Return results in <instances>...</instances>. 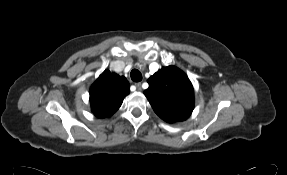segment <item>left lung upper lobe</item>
Wrapping results in <instances>:
<instances>
[{
  "mask_svg": "<svg viewBox=\"0 0 287 175\" xmlns=\"http://www.w3.org/2000/svg\"><path fill=\"white\" fill-rule=\"evenodd\" d=\"M144 91L153 110L169 123L186 120L194 107V91L187 75L175 66L163 67Z\"/></svg>",
  "mask_w": 287,
  "mask_h": 175,
  "instance_id": "left-lung-upper-lobe-1",
  "label": "left lung upper lobe"
}]
</instances>
